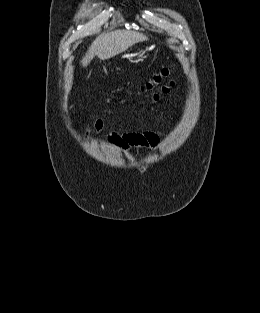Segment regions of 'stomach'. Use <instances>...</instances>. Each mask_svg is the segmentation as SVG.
<instances>
[{
	"label": "stomach",
	"mask_w": 260,
	"mask_h": 313,
	"mask_svg": "<svg viewBox=\"0 0 260 313\" xmlns=\"http://www.w3.org/2000/svg\"><path fill=\"white\" fill-rule=\"evenodd\" d=\"M143 58H144V53L138 54V55H137L136 62L143 60Z\"/></svg>",
	"instance_id": "stomach-1"
}]
</instances>
